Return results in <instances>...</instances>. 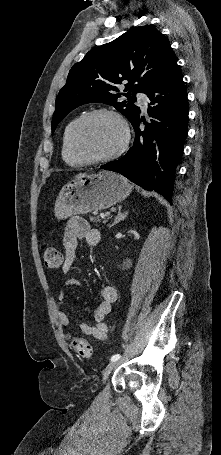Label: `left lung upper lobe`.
Here are the masks:
<instances>
[{
    "label": "left lung upper lobe",
    "mask_w": 221,
    "mask_h": 455,
    "mask_svg": "<svg viewBox=\"0 0 221 455\" xmlns=\"http://www.w3.org/2000/svg\"><path fill=\"white\" fill-rule=\"evenodd\" d=\"M177 62L169 42L156 28H133L114 41L91 49L76 63L56 98L52 132L76 107L92 102L114 106L132 123L140 113L135 94H147ZM125 85L121 97L118 85Z\"/></svg>",
    "instance_id": "1"
}]
</instances>
